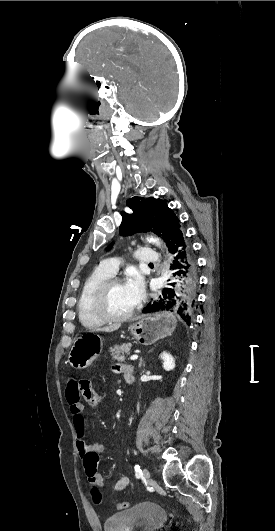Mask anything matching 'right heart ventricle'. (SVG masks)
<instances>
[{"instance_id":"1","label":"right heart ventricle","mask_w":275,"mask_h":531,"mask_svg":"<svg viewBox=\"0 0 275 531\" xmlns=\"http://www.w3.org/2000/svg\"><path fill=\"white\" fill-rule=\"evenodd\" d=\"M112 276L104 270L95 271L84 282L77 302V312L81 324L87 328H95L104 324L91 309V299L97 287L108 277Z\"/></svg>"}]
</instances>
